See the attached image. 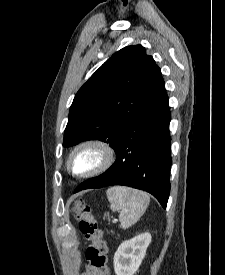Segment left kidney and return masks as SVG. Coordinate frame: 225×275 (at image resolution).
<instances>
[{"mask_svg": "<svg viewBox=\"0 0 225 275\" xmlns=\"http://www.w3.org/2000/svg\"><path fill=\"white\" fill-rule=\"evenodd\" d=\"M151 242V234L143 233L124 241L114 255L116 275H133L139 268Z\"/></svg>", "mask_w": 225, "mask_h": 275, "instance_id": "left-kidney-1", "label": "left kidney"}]
</instances>
